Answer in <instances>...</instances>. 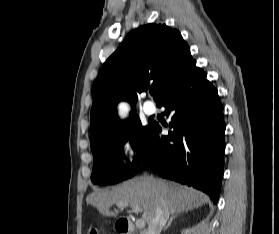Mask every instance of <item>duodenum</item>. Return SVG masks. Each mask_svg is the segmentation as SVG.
<instances>
[{"instance_id":"1","label":"duodenum","mask_w":279,"mask_h":234,"mask_svg":"<svg viewBox=\"0 0 279 234\" xmlns=\"http://www.w3.org/2000/svg\"><path fill=\"white\" fill-rule=\"evenodd\" d=\"M117 231L119 234H133L134 225L131 220L120 219L117 223Z\"/></svg>"}]
</instances>
